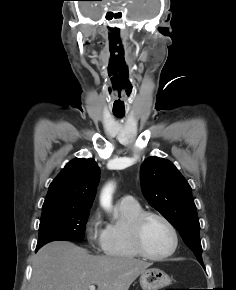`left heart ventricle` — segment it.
Wrapping results in <instances>:
<instances>
[{
  "label": "left heart ventricle",
  "instance_id": "b2bd125f",
  "mask_svg": "<svg viewBox=\"0 0 236 290\" xmlns=\"http://www.w3.org/2000/svg\"><path fill=\"white\" fill-rule=\"evenodd\" d=\"M143 243L146 250L154 255L168 252L173 239L168 227L157 218H149L143 227Z\"/></svg>",
  "mask_w": 236,
  "mask_h": 290
}]
</instances>
